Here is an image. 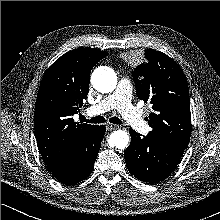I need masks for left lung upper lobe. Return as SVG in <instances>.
<instances>
[{"label":"left lung upper lobe","instance_id":"left-lung-upper-lobe-1","mask_svg":"<svg viewBox=\"0 0 220 220\" xmlns=\"http://www.w3.org/2000/svg\"><path fill=\"white\" fill-rule=\"evenodd\" d=\"M146 61L135 68L133 79L139 99L150 100L153 112L146 118L150 135L185 149L190 140L189 90L180 66L168 55L145 50Z\"/></svg>","mask_w":220,"mask_h":220}]
</instances>
